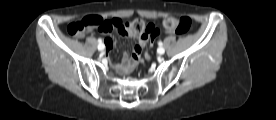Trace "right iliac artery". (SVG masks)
Instances as JSON below:
<instances>
[{
    "label": "right iliac artery",
    "instance_id": "82829eb1",
    "mask_svg": "<svg viewBox=\"0 0 276 120\" xmlns=\"http://www.w3.org/2000/svg\"><path fill=\"white\" fill-rule=\"evenodd\" d=\"M99 45L102 44V39H98Z\"/></svg>",
    "mask_w": 276,
    "mask_h": 120
}]
</instances>
